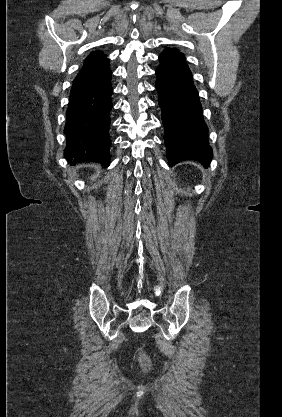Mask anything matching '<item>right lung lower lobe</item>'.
I'll return each instance as SVG.
<instances>
[{
	"label": "right lung lower lobe",
	"instance_id": "right-lung-lower-lobe-1",
	"mask_svg": "<svg viewBox=\"0 0 282 417\" xmlns=\"http://www.w3.org/2000/svg\"><path fill=\"white\" fill-rule=\"evenodd\" d=\"M112 71L106 58L82 68L70 92L65 134V158L71 164L96 162L110 164L109 136L112 108Z\"/></svg>",
	"mask_w": 282,
	"mask_h": 417
}]
</instances>
